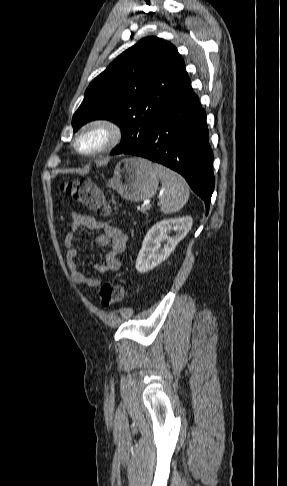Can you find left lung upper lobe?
Here are the masks:
<instances>
[{"mask_svg": "<svg viewBox=\"0 0 287 486\" xmlns=\"http://www.w3.org/2000/svg\"><path fill=\"white\" fill-rule=\"evenodd\" d=\"M189 83L184 61L171 43L143 38L90 83L73 116L74 131L91 120L108 119L122 130L121 143L111 153L136 148Z\"/></svg>", "mask_w": 287, "mask_h": 486, "instance_id": "1", "label": "left lung upper lobe"}]
</instances>
